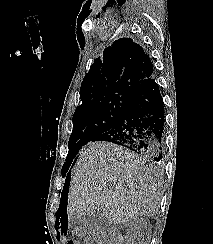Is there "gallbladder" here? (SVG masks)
Instances as JSON below:
<instances>
[{
	"instance_id": "1",
	"label": "gallbladder",
	"mask_w": 213,
	"mask_h": 244,
	"mask_svg": "<svg viewBox=\"0 0 213 244\" xmlns=\"http://www.w3.org/2000/svg\"><path fill=\"white\" fill-rule=\"evenodd\" d=\"M109 222L103 215L101 209L88 212L86 215L71 222L72 232L77 236H87L99 233L107 228Z\"/></svg>"
}]
</instances>
